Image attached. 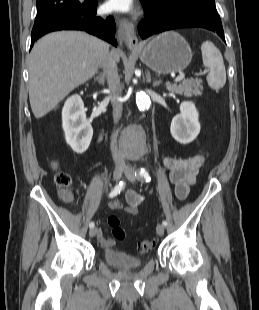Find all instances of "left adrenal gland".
<instances>
[{
    "instance_id": "obj_1",
    "label": "left adrenal gland",
    "mask_w": 259,
    "mask_h": 310,
    "mask_svg": "<svg viewBox=\"0 0 259 310\" xmlns=\"http://www.w3.org/2000/svg\"><path fill=\"white\" fill-rule=\"evenodd\" d=\"M147 82H151V75L150 72L147 71ZM161 81H155L153 83V87H158L160 85Z\"/></svg>"
}]
</instances>
